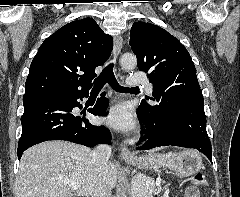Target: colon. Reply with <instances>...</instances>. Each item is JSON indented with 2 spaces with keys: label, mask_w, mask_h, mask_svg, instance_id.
<instances>
[{
  "label": "colon",
  "mask_w": 240,
  "mask_h": 197,
  "mask_svg": "<svg viewBox=\"0 0 240 197\" xmlns=\"http://www.w3.org/2000/svg\"><path fill=\"white\" fill-rule=\"evenodd\" d=\"M191 183H192V186H195V187L204 186L207 183L206 177L202 173H196L191 176Z\"/></svg>",
  "instance_id": "1"
}]
</instances>
